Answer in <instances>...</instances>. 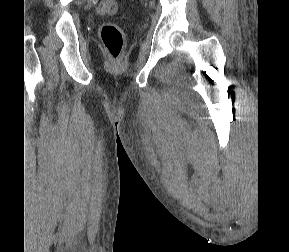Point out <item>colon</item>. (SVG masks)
<instances>
[{
  "label": "colon",
  "instance_id": "colon-1",
  "mask_svg": "<svg viewBox=\"0 0 289 252\" xmlns=\"http://www.w3.org/2000/svg\"><path fill=\"white\" fill-rule=\"evenodd\" d=\"M116 0H100L97 10L101 15H111L116 12ZM100 39L108 53L110 61L118 64L122 58L125 46V34L115 23H104L99 28Z\"/></svg>",
  "mask_w": 289,
  "mask_h": 252
}]
</instances>
